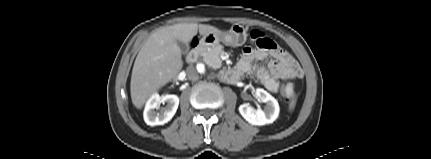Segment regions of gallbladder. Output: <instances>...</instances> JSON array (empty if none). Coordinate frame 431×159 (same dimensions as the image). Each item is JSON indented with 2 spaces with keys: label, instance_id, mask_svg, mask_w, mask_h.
<instances>
[{
  "label": "gallbladder",
  "instance_id": "1",
  "mask_svg": "<svg viewBox=\"0 0 431 159\" xmlns=\"http://www.w3.org/2000/svg\"><path fill=\"white\" fill-rule=\"evenodd\" d=\"M177 44L179 46V48L181 49V52L183 54H187L189 51V45L187 43H184L182 41H177Z\"/></svg>",
  "mask_w": 431,
  "mask_h": 159
}]
</instances>
